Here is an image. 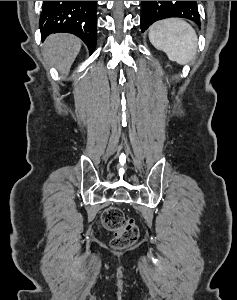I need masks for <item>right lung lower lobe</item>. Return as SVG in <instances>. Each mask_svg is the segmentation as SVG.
Segmentation results:
<instances>
[{
    "label": "right lung lower lobe",
    "instance_id": "obj_1",
    "mask_svg": "<svg viewBox=\"0 0 237 300\" xmlns=\"http://www.w3.org/2000/svg\"><path fill=\"white\" fill-rule=\"evenodd\" d=\"M97 1H44L40 29L41 38L56 32L80 37L92 52L96 46Z\"/></svg>",
    "mask_w": 237,
    "mask_h": 300
}]
</instances>
